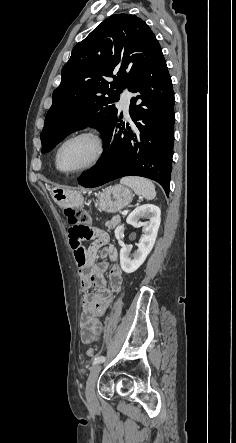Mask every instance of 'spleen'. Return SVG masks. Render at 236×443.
Instances as JSON below:
<instances>
[{
  "mask_svg": "<svg viewBox=\"0 0 236 443\" xmlns=\"http://www.w3.org/2000/svg\"><path fill=\"white\" fill-rule=\"evenodd\" d=\"M120 183L133 189V191L144 197L146 200L155 198V186L149 179L137 176H127L120 180Z\"/></svg>",
  "mask_w": 236,
  "mask_h": 443,
  "instance_id": "obj_1",
  "label": "spleen"
}]
</instances>
